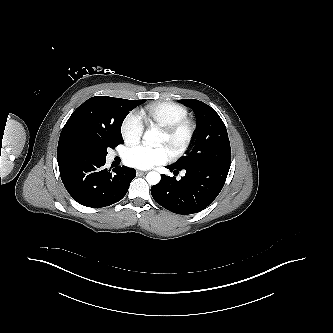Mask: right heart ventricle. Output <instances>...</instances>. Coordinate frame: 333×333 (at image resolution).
Returning <instances> with one entry per match:
<instances>
[{
	"mask_svg": "<svg viewBox=\"0 0 333 333\" xmlns=\"http://www.w3.org/2000/svg\"><path fill=\"white\" fill-rule=\"evenodd\" d=\"M188 109L176 101H156L149 103L139 111V117L145 125L168 126L186 118Z\"/></svg>",
	"mask_w": 333,
	"mask_h": 333,
	"instance_id": "right-heart-ventricle-1",
	"label": "right heart ventricle"
}]
</instances>
